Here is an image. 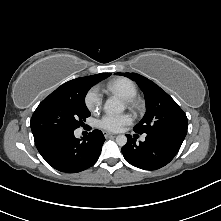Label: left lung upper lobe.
Listing matches in <instances>:
<instances>
[{"label":"left lung upper lobe","mask_w":221,"mask_h":221,"mask_svg":"<svg viewBox=\"0 0 221 221\" xmlns=\"http://www.w3.org/2000/svg\"><path fill=\"white\" fill-rule=\"evenodd\" d=\"M138 83L145 94L146 113L134 127L136 133L142 134H176L185 137L188 120L179 105L158 85L136 73H117Z\"/></svg>","instance_id":"5c2ea615"}]
</instances>
